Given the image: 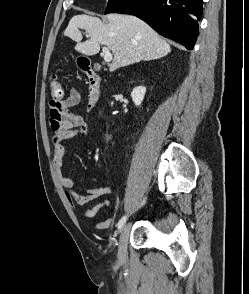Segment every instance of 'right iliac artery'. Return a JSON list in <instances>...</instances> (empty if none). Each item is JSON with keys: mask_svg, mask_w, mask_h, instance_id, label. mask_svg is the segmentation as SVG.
<instances>
[{"mask_svg": "<svg viewBox=\"0 0 249 294\" xmlns=\"http://www.w3.org/2000/svg\"><path fill=\"white\" fill-rule=\"evenodd\" d=\"M144 202H145V201L142 202V205L144 204ZM126 220H127V216H123V217L119 220V222H118V229H119V230L123 227V225L125 224Z\"/></svg>", "mask_w": 249, "mask_h": 294, "instance_id": "obj_1", "label": "right iliac artery"}]
</instances>
